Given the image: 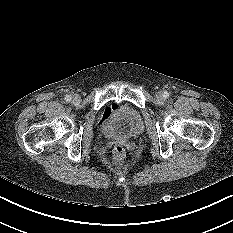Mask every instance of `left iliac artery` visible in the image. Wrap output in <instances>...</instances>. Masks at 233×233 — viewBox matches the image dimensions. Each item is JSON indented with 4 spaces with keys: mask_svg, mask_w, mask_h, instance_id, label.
Returning <instances> with one entry per match:
<instances>
[{
    "mask_svg": "<svg viewBox=\"0 0 233 233\" xmlns=\"http://www.w3.org/2000/svg\"><path fill=\"white\" fill-rule=\"evenodd\" d=\"M163 97L166 99V98H168L169 97V93L167 92V91H165L164 93H163Z\"/></svg>",
    "mask_w": 233,
    "mask_h": 233,
    "instance_id": "44dca946",
    "label": "left iliac artery"
}]
</instances>
